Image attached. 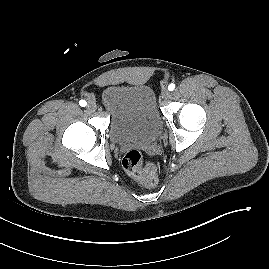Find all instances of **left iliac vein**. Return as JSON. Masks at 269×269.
<instances>
[{
    "label": "left iliac vein",
    "mask_w": 269,
    "mask_h": 269,
    "mask_svg": "<svg viewBox=\"0 0 269 269\" xmlns=\"http://www.w3.org/2000/svg\"><path fill=\"white\" fill-rule=\"evenodd\" d=\"M161 96H162V98H163L164 100H167V99L170 98L171 93H170V91H169L167 88H164V89L162 90V92H161Z\"/></svg>",
    "instance_id": "4c4485c4"
}]
</instances>
